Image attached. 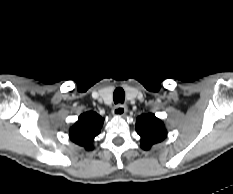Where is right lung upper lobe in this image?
I'll use <instances>...</instances> for the list:
<instances>
[{
  "label": "right lung upper lobe",
  "instance_id": "1",
  "mask_svg": "<svg viewBox=\"0 0 233 194\" xmlns=\"http://www.w3.org/2000/svg\"><path fill=\"white\" fill-rule=\"evenodd\" d=\"M104 119L97 113L89 111L82 114L70 129V139L76 144L92 149L94 138L100 133Z\"/></svg>",
  "mask_w": 233,
  "mask_h": 194
}]
</instances>
